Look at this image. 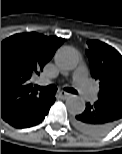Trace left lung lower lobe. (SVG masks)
Masks as SVG:
<instances>
[{
  "label": "left lung lower lobe",
  "instance_id": "1",
  "mask_svg": "<svg viewBox=\"0 0 122 154\" xmlns=\"http://www.w3.org/2000/svg\"><path fill=\"white\" fill-rule=\"evenodd\" d=\"M122 119V96L99 98L73 120L74 126L88 135H102L113 129Z\"/></svg>",
  "mask_w": 122,
  "mask_h": 154
}]
</instances>
